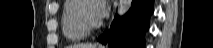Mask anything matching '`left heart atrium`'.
<instances>
[{"label":"left heart atrium","mask_w":213,"mask_h":48,"mask_svg":"<svg viewBox=\"0 0 213 48\" xmlns=\"http://www.w3.org/2000/svg\"><path fill=\"white\" fill-rule=\"evenodd\" d=\"M95 4V16L97 20H101L108 12V3L106 0H97Z\"/></svg>","instance_id":"left-heart-atrium-1"}]
</instances>
